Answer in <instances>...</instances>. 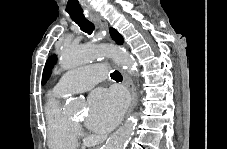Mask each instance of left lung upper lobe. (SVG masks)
Masks as SVG:
<instances>
[{"mask_svg": "<svg viewBox=\"0 0 227 149\" xmlns=\"http://www.w3.org/2000/svg\"><path fill=\"white\" fill-rule=\"evenodd\" d=\"M56 57L52 56L50 57L47 62L46 66L43 70V75H42V84H45L47 79L50 77L51 74V68L53 67V64L55 63Z\"/></svg>", "mask_w": 227, "mask_h": 149, "instance_id": "left-lung-upper-lobe-1", "label": "left lung upper lobe"}]
</instances>
